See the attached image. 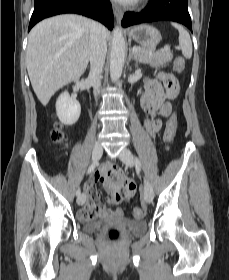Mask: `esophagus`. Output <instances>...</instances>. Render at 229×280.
<instances>
[{
  "instance_id": "34e87169",
  "label": "esophagus",
  "mask_w": 229,
  "mask_h": 280,
  "mask_svg": "<svg viewBox=\"0 0 229 280\" xmlns=\"http://www.w3.org/2000/svg\"><path fill=\"white\" fill-rule=\"evenodd\" d=\"M112 8H113V12H114V15H115V18H116V21L117 22H120L122 17H123V11L122 9L116 5V4H113L112 5Z\"/></svg>"
}]
</instances>
